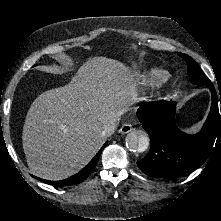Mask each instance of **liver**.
Listing matches in <instances>:
<instances>
[{
  "label": "liver",
  "instance_id": "liver-1",
  "mask_svg": "<svg viewBox=\"0 0 221 221\" xmlns=\"http://www.w3.org/2000/svg\"><path fill=\"white\" fill-rule=\"evenodd\" d=\"M136 76L118 60L95 57L68 85L39 95L22 133L31 173L56 181L83 168L100 149L104 126L137 101Z\"/></svg>",
  "mask_w": 221,
  "mask_h": 221
}]
</instances>
